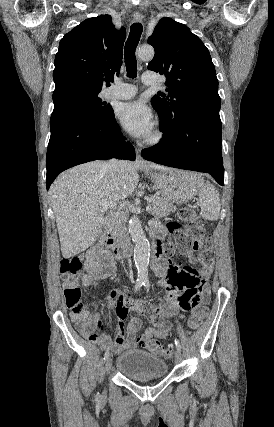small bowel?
Segmentation results:
<instances>
[{"mask_svg":"<svg viewBox=\"0 0 274 427\" xmlns=\"http://www.w3.org/2000/svg\"><path fill=\"white\" fill-rule=\"evenodd\" d=\"M161 225L153 221L150 224L152 236L157 234ZM197 244L192 245L190 251H179L180 256L187 257L190 263L195 261L194 254L199 252ZM205 255H211V250H205ZM117 257L113 252L97 245L85 253L84 274L81 278L85 287L96 286L100 280L112 277L116 271ZM154 273L162 279V285L168 295L171 305L166 306V311H161V305L157 302L151 304L150 299L130 300L122 292H111L108 296V305L117 318V335L114 339L104 333L105 325L99 313L91 314L88 307L79 312H72L71 320L76 325L80 334L88 341L100 345L103 349L119 354L124 351L143 346V342L152 338H165L169 332L174 331L172 320L178 316L179 320L187 319V312L180 310H192L193 302H198L199 293L202 301L210 298V285L214 282V271L217 268L215 261L206 263L207 269L181 268L172 260L156 259L153 262ZM181 268V269H180ZM168 270L171 275H168ZM203 278V279H202ZM203 280V282H202ZM200 284V285H199ZM182 298L183 301H178ZM132 310L137 313H160V318L150 319V326L141 337L137 333L142 326V320L138 316L129 319L128 326L125 320ZM178 313V315H177Z\"/></svg>","mask_w":274,"mask_h":427,"instance_id":"obj_1","label":"small bowel"}]
</instances>
